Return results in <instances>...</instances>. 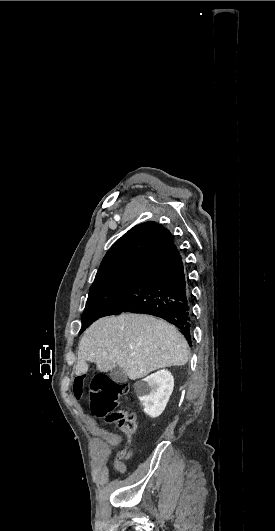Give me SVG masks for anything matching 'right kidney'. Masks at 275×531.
<instances>
[{
	"label": "right kidney",
	"instance_id": "ca27d5eb",
	"mask_svg": "<svg viewBox=\"0 0 275 531\" xmlns=\"http://www.w3.org/2000/svg\"><path fill=\"white\" fill-rule=\"evenodd\" d=\"M174 379L167 369H161L141 381L134 383V391L144 407L143 411L152 419L163 413L170 395H172Z\"/></svg>",
	"mask_w": 275,
	"mask_h": 531
}]
</instances>
